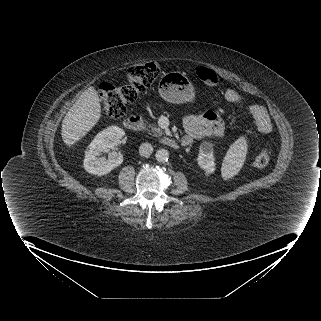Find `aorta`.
Wrapping results in <instances>:
<instances>
[{"mask_svg": "<svg viewBox=\"0 0 321 321\" xmlns=\"http://www.w3.org/2000/svg\"><path fill=\"white\" fill-rule=\"evenodd\" d=\"M155 158L158 162H166L169 158V152L166 149H159L155 153Z\"/></svg>", "mask_w": 321, "mask_h": 321, "instance_id": "aorta-1", "label": "aorta"}]
</instances>
